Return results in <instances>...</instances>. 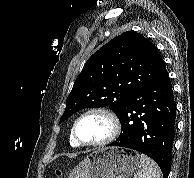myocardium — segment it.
Here are the masks:
<instances>
[{"label":"myocardium","mask_w":194,"mask_h":178,"mask_svg":"<svg viewBox=\"0 0 194 178\" xmlns=\"http://www.w3.org/2000/svg\"><path fill=\"white\" fill-rule=\"evenodd\" d=\"M90 114H100L104 116L110 124V131L104 139L97 142L87 143L80 140L79 137L77 136V126L82 118ZM120 129H121L120 121L113 111L104 107H92L82 112L75 119L71 129V137L73 138L76 144L82 147H103L111 144L116 140L120 133Z\"/></svg>","instance_id":"myocardium-1"}]
</instances>
